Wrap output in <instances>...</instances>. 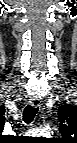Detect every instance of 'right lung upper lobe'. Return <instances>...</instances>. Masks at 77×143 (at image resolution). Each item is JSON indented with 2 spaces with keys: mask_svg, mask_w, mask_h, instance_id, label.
<instances>
[{
  "mask_svg": "<svg viewBox=\"0 0 77 143\" xmlns=\"http://www.w3.org/2000/svg\"><path fill=\"white\" fill-rule=\"evenodd\" d=\"M4 112H5V108L4 107H0V124L2 125V127H3V125H4V120H5V117L3 116L4 115Z\"/></svg>",
  "mask_w": 77,
  "mask_h": 143,
  "instance_id": "1",
  "label": "right lung upper lobe"
}]
</instances>
